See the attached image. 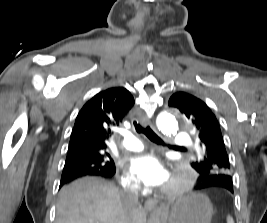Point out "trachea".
I'll return each mask as SVG.
<instances>
[{"label": "trachea", "instance_id": "obj_1", "mask_svg": "<svg viewBox=\"0 0 267 223\" xmlns=\"http://www.w3.org/2000/svg\"><path fill=\"white\" fill-rule=\"evenodd\" d=\"M133 124H134L135 130L137 133H139V134L142 133V134L146 135V137L149 140H151L152 142H154L156 144H163L164 145L163 140L160 137H158L150 127H148V126L144 127L140 123H137V121H134Z\"/></svg>", "mask_w": 267, "mask_h": 223}]
</instances>
